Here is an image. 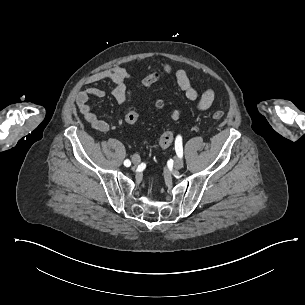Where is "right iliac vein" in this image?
Returning <instances> with one entry per match:
<instances>
[{
  "instance_id": "1",
  "label": "right iliac vein",
  "mask_w": 305,
  "mask_h": 305,
  "mask_svg": "<svg viewBox=\"0 0 305 305\" xmlns=\"http://www.w3.org/2000/svg\"><path fill=\"white\" fill-rule=\"evenodd\" d=\"M140 162H141V158H140L139 155H133L132 156V163L134 165H138V164H140Z\"/></svg>"
}]
</instances>
